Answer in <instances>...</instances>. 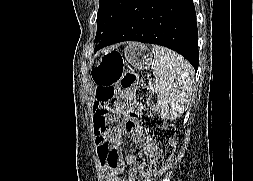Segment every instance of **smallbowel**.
Segmentation results:
<instances>
[{"mask_svg": "<svg viewBox=\"0 0 253 181\" xmlns=\"http://www.w3.org/2000/svg\"><path fill=\"white\" fill-rule=\"evenodd\" d=\"M95 106L94 104V109ZM133 107L132 92L121 91L118 102L109 110L108 115L94 118L92 129L95 145L106 181H152V173L147 164L155 157L156 147L151 140L141 135L135 127V120L129 117ZM122 115L126 118L120 131L132 134L133 139L140 145L139 153H130L123 161L120 159L121 140L115 134L116 129H111ZM139 157L143 161L135 163Z\"/></svg>", "mask_w": 253, "mask_h": 181, "instance_id": "1", "label": "small bowel"}]
</instances>
